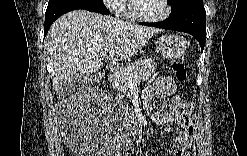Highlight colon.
Segmentation results:
<instances>
[{"mask_svg": "<svg viewBox=\"0 0 247 156\" xmlns=\"http://www.w3.org/2000/svg\"><path fill=\"white\" fill-rule=\"evenodd\" d=\"M170 70L179 81L186 79L185 58L183 55L177 56L171 61ZM163 103H169V98H163Z\"/></svg>", "mask_w": 247, "mask_h": 156, "instance_id": "colon-1", "label": "colon"}]
</instances>
